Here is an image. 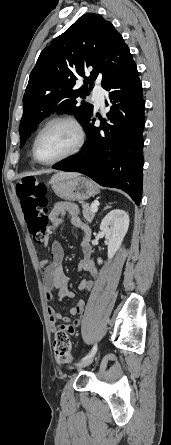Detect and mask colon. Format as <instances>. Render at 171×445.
Listing matches in <instances>:
<instances>
[{"label": "colon", "mask_w": 171, "mask_h": 445, "mask_svg": "<svg viewBox=\"0 0 171 445\" xmlns=\"http://www.w3.org/2000/svg\"><path fill=\"white\" fill-rule=\"evenodd\" d=\"M16 191L29 232L37 243H43L51 230L46 213V184L34 178H25L17 184ZM53 348L58 362L67 364L71 361V344L64 330L55 332Z\"/></svg>", "instance_id": "obj_1"}]
</instances>
